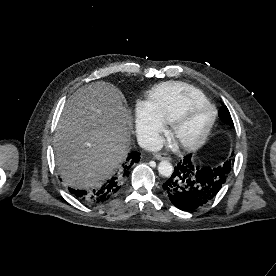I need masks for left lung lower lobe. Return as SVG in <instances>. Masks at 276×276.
Returning a JSON list of instances; mask_svg holds the SVG:
<instances>
[{"instance_id":"0a47b994","label":"left lung lower lobe","mask_w":276,"mask_h":276,"mask_svg":"<svg viewBox=\"0 0 276 276\" xmlns=\"http://www.w3.org/2000/svg\"><path fill=\"white\" fill-rule=\"evenodd\" d=\"M228 169L193 164L187 155L163 184L165 194L181 210H193L210 202L226 182Z\"/></svg>"}]
</instances>
